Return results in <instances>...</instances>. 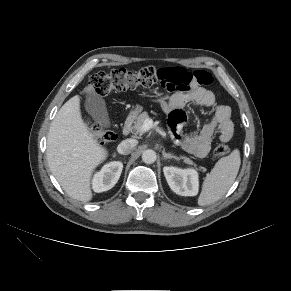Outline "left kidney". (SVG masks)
Masks as SVG:
<instances>
[{
    "instance_id": "obj_1",
    "label": "left kidney",
    "mask_w": 291,
    "mask_h": 291,
    "mask_svg": "<svg viewBox=\"0 0 291 291\" xmlns=\"http://www.w3.org/2000/svg\"><path fill=\"white\" fill-rule=\"evenodd\" d=\"M164 176L171 190L181 196H195L199 190L198 172L195 169H181L173 166L163 168Z\"/></svg>"
}]
</instances>
